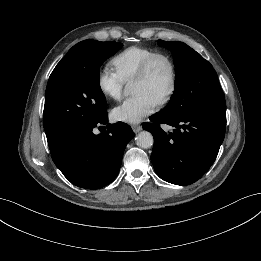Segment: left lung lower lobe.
<instances>
[{
    "label": "left lung lower lobe",
    "mask_w": 261,
    "mask_h": 261,
    "mask_svg": "<svg viewBox=\"0 0 261 261\" xmlns=\"http://www.w3.org/2000/svg\"><path fill=\"white\" fill-rule=\"evenodd\" d=\"M143 129L154 137L151 160L157 175L172 184L189 185L200 179L215 161L223 142L226 106L183 115L157 113ZM160 123L174 127L165 132Z\"/></svg>",
    "instance_id": "1"
}]
</instances>
